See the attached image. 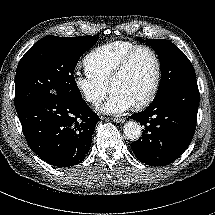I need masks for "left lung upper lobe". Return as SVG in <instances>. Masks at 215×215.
Listing matches in <instances>:
<instances>
[{"instance_id":"obj_1","label":"left lung upper lobe","mask_w":215,"mask_h":215,"mask_svg":"<svg viewBox=\"0 0 215 215\" xmlns=\"http://www.w3.org/2000/svg\"><path fill=\"white\" fill-rule=\"evenodd\" d=\"M159 56L161 81L156 96L181 83L196 79L194 68L186 55L169 40H143Z\"/></svg>"}]
</instances>
